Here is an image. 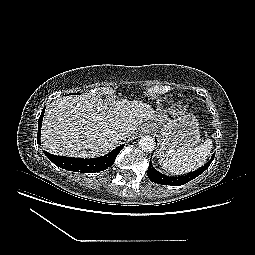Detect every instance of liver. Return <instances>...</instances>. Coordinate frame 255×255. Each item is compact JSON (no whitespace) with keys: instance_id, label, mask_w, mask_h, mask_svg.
I'll use <instances>...</instances> for the list:
<instances>
[{"instance_id":"liver-1","label":"liver","mask_w":255,"mask_h":255,"mask_svg":"<svg viewBox=\"0 0 255 255\" xmlns=\"http://www.w3.org/2000/svg\"><path fill=\"white\" fill-rule=\"evenodd\" d=\"M162 122L150 105L142 101H104L95 94L66 96L50 103L42 124V145L49 153L94 158L120 144L116 133L130 139L142 123Z\"/></svg>"}]
</instances>
